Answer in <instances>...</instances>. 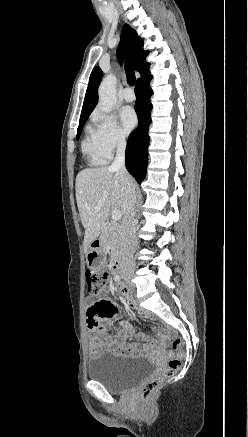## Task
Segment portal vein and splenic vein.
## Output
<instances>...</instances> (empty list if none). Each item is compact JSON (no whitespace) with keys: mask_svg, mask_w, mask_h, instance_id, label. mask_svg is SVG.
Returning a JSON list of instances; mask_svg holds the SVG:
<instances>
[{"mask_svg":"<svg viewBox=\"0 0 248 437\" xmlns=\"http://www.w3.org/2000/svg\"><path fill=\"white\" fill-rule=\"evenodd\" d=\"M103 202H104V198H101L99 203H98V205L94 207V210L97 211V212L100 211ZM112 219L114 221H118V220L121 219V211L119 209H113V211H112Z\"/></svg>","mask_w":248,"mask_h":437,"instance_id":"1","label":"portal vein and splenic vein"}]
</instances>
